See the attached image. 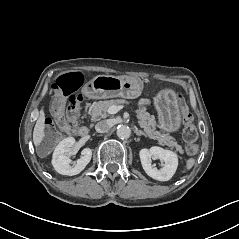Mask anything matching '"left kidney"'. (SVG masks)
<instances>
[{
    "mask_svg": "<svg viewBox=\"0 0 239 239\" xmlns=\"http://www.w3.org/2000/svg\"><path fill=\"white\" fill-rule=\"evenodd\" d=\"M142 167L146 174L159 181L169 180L176 171L178 160L175 153L160 147L142 149L139 153ZM153 160L160 161V169L153 164Z\"/></svg>",
    "mask_w": 239,
    "mask_h": 239,
    "instance_id": "obj_1",
    "label": "left kidney"
}]
</instances>
